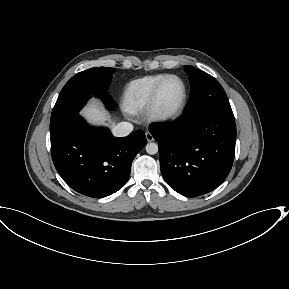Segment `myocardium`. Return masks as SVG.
Here are the masks:
<instances>
[{
	"label": "myocardium",
	"mask_w": 289,
	"mask_h": 289,
	"mask_svg": "<svg viewBox=\"0 0 289 289\" xmlns=\"http://www.w3.org/2000/svg\"><path fill=\"white\" fill-rule=\"evenodd\" d=\"M170 79H177L183 86V96L180 103L172 110H163L159 105V97L163 85ZM188 99V88L186 82L178 75L170 74L161 79L154 88L146 108V115L152 122L166 123L177 119L183 112Z\"/></svg>",
	"instance_id": "f54148a6"
}]
</instances>
